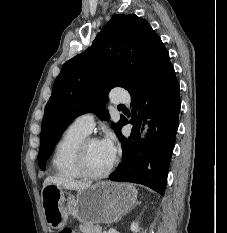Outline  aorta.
<instances>
[{
  "mask_svg": "<svg viewBox=\"0 0 227 233\" xmlns=\"http://www.w3.org/2000/svg\"><path fill=\"white\" fill-rule=\"evenodd\" d=\"M147 126L145 127V129H144V131H143V134H142V137H144L145 136V134L147 133Z\"/></svg>",
  "mask_w": 227,
  "mask_h": 233,
  "instance_id": "aorta-1",
  "label": "aorta"
}]
</instances>
